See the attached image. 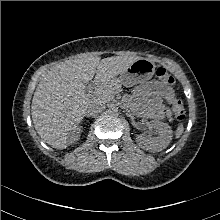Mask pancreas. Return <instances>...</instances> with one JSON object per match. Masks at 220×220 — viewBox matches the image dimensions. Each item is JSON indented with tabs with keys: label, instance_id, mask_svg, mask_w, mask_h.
<instances>
[{
	"label": "pancreas",
	"instance_id": "cf45deb5",
	"mask_svg": "<svg viewBox=\"0 0 220 220\" xmlns=\"http://www.w3.org/2000/svg\"><path fill=\"white\" fill-rule=\"evenodd\" d=\"M93 99H94L95 102L104 103L108 100V94L107 93H97L95 96H93ZM166 114L168 116H170L171 111L169 109H167Z\"/></svg>",
	"mask_w": 220,
	"mask_h": 220
}]
</instances>
